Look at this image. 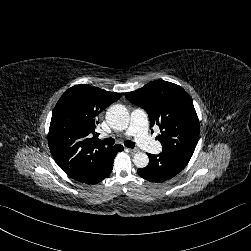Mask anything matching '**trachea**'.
I'll return each instance as SVG.
<instances>
[{
	"label": "trachea",
	"mask_w": 251,
	"mask_h": 251,
	"mask_svg": "<svg viewBox=\"0 0 251 251\" xmlns=\"http://www.w3.org/2000/svg\"><path fill=\"white\" fill-rule=\"evenodd\" d=\"M100 143L106 144V145H113L115 143V140L113 138H107V139H104V140H100ZM124 145L126 147H128V148H134L135 147V143L130 141V140L125 141Z\"/></svg>",
	"instance_id": "1"
}]
</instances>
